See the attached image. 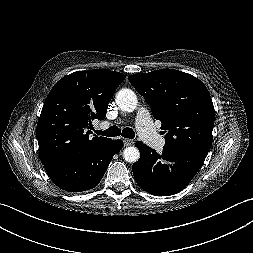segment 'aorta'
I'll list each match as a JSON object with an SVG mask.
<instances>
[{
    "label": "aorta",
    "mask_w": 253,
    "mask_h": 253,
    "mask_svg": "<svg viewBox=\"0 0 253 253\" xmlns=\"http://www.w3.org/2000/svg\"><path fill=\"white\" fill-rule=\"evenodd\" d=\"M115 101L125 112H132L137 107V96L131 89H121L117 92ZM123 158L129 163L137 162L140 158L139 150L134 147H126L123 151Z\"/></svg>",
    "instance_id": "obj_1"
}]
</instances>
